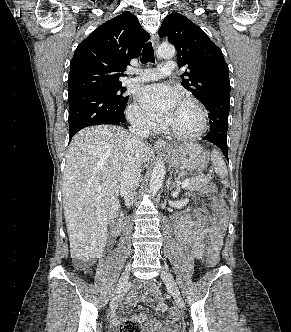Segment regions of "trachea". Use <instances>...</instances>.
<instances>
[{"label": "trachea", "mask_w": 291, "mask_h": 332, "mask_svg": "<svg viewBox=\"0 0 291 332\" xmlns=\"http://www.w3.org/2000/svg\"><path fill=\"white\" fill-rule=\"evenodd\" d=\"M154 61H155V59H154V51H153V48H152V43L148 42L144 45L143 56H142L141 62L143 64H146L148 62L153 63Z\"/></svg>", "instance_id": "obj_1"}]
</instances>
